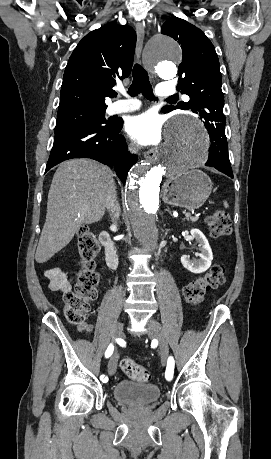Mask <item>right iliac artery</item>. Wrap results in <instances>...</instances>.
Returning <instances> with one entry per match:
<instances>
[{"label": "right iliac artery", "instance_id": "82829eb1", "mask_svg": "<svg viewBox=\"0 0 271 459\" xmlns=\"http://www.w3.org/2000/svg\"><path fill=\"white\" fill-rule=\"evenodd\" d=\"M113 350H114V346L112 344H110L105 352V357L106 358H109L112 353H113ZM102 379H104L105 381H108L109 380V377L107 376V373H102V376H101Z\"/></svg>", "mask_w": 271, "mask_h": 459}]
</instances>
